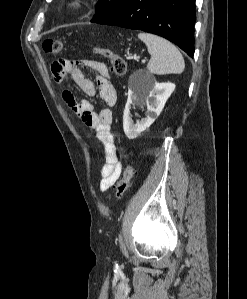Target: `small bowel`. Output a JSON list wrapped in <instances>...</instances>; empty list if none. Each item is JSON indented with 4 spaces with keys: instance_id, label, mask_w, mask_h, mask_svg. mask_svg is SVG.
Wrapping results in <instances>:
<instances>
[{
    "instance_id": "c3829d8e",
    "label": "small bowel",
    "mask_w": 247,
    "mask_h": 299,
    "mask_svg": "<svg viewBox=\"0 0 247 299\" xmlns=\"http://www.w3.org/2000/svg\"><path fill=\"white\" fill-rule=\"evenodd\" d=\"M81 67H87L94 71L95 83L85 77ZM51 69L57 83H63L65 78L70 75L85 94L98 95L106 105L105 108L96 112L88 100H78L69 89L62 92V98L67 106L80 116L86 127L96 132V137L103 146L105 163L100 170V190L106 192L116 183L122 171L119 150L111 131L113 120L111 108L116 103L117 92L110 80L108 66L104 62L94 60L59 59L52 63Z\"/></svg>"
}]
</instances>
